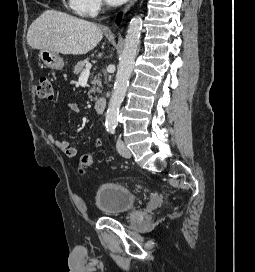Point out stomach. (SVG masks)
Segmentation results:
<instances>
[{"label":"stomach","instance_id":"stomach-1","mask_svg":"<svg viewBox=\"0 0 255 272\" xmlns=\"http://www.w3.org/2000/svg\"><path fill=\"white\" fill-rule=\"evenodd\" d=\"M39 57L47 68L53 70H62L64 67L63 59L56 52L41 49L39 52Z\"/></svg>","mask_w":255,"mask_h":272}]
</instances>
